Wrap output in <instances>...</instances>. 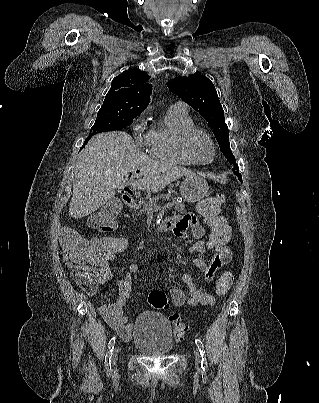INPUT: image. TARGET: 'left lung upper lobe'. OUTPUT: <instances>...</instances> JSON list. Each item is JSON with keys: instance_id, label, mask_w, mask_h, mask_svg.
<instances>
[{"instance_id": "obj_1", "label": "left lung upper lobe", "mask_w": 319, "mask_h": 403, "mask_svg": "<svg viewBox=\"0 0 319 403\" xmlns=\"http://www.w3.org/2000/svg\"><path fill=\"white\" fill-rule=\"evenodd\" d=\"M168 88L183 101L198 111L213 129L219 147L238 179L242 181L235 157L229 143L228 127L225 123L224 111L219 101L216 89L207 77L203 75L178 76L167 83Z\"/></svg>"}]
</instances>
